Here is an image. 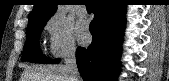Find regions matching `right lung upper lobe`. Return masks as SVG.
<instances>
[{
    "label": "right lung upper lobe",
    "instance_id": "right-lung-upper-lobe-1",
    "mask_svg": "<svg viewBox=\"0 0 169 81\" xmlns=\"http://www.w3.org/2000/svg\"><path fill=\"white\" fill-rule=\"evenodd\" d=\"M35 4L29 17L28 25L48 20L57 9V0H34Z\"/></svg>",
    "mask_w": 169,
    "mask_h": 81
}]
</instances>
